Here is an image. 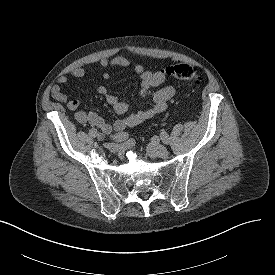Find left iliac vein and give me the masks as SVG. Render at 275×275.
Instances as JSON below:
<instances>
[{"label": "left iliac vein", "mask_w": 275, "mask_h": 275, "mask_svg": "<svg viewBox=\"0 0 275 275\" xmlns=\"http://www.w3.org/2000/svg\"><path fill=\"white\" fill-rule=\"evenodd\" d=\"M147 152L151 157L165 158L168 156V150L157 140H153L147 146Z\"/></svg>", "instance_id": "4c4485c4"}]
</instances>
